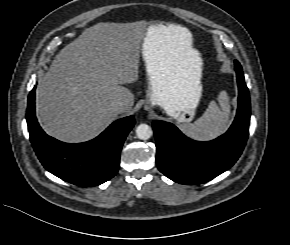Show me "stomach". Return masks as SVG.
Segmentation results:
<instances>
[{
    "label": "stomach",
    "instance_id": "stomach-1",
    "mask_svg": "<svg viewBox=\"0 0 290 245\" xmlns=\"http://www.w3.org/2000/svg\"><path fill=\"white\" fill-rule=\"evenodd\" d=\"M157 27H153L141 47L148 81L146 107L159 105L178 124H188L202 95V59L198 56L199 71L195 74L175 72L168 61L169 53L159 46Z\"/></svg>",
    "mask_w": 290,
    "mask_h": 245
}]
</instances>
